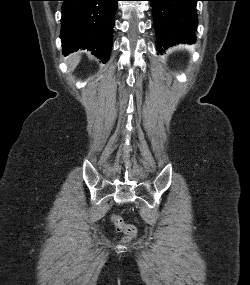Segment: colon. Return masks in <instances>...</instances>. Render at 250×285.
<instances>
[{
    "label": "colon",
    "instance_id": "5ec220e1",
    "mask_svg": "<svg viewBox=\"0 0 250 285\" xmlns=\"http://www.w3.org/2000/svg\"><path fill=\"white\" fill-rule=\"evenodd\" d=\"M112 221L116 229L125 234L127 238H132L136 234V228L134 225L126 224L123 219L118 215L112 216Z\"/></svg>",
    "mask_w": 250,
    "mask_h": 285
}]
</instances>
